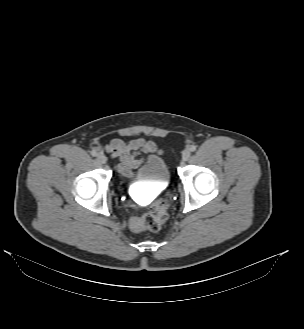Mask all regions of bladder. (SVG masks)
Returning a JSON list of instances; mask_svg holds the SVG:
<instances>
[{
	"label": "bladder",
	"instance_id": "bladder-1",
	"mask_svg": "<svg viewBox=\"0 0 304 329\" xmlns=\"http://www.w3.org/2000/svg\"><path fill=\"white\" fill-rule=\"evenodd\" d=\"M139 181L167 183L170 171L165 160L158 155L147 156L137 169Z\"/></svg>",
	"mask_w": 304,
	"mask_h": 329
}]
</instances>
